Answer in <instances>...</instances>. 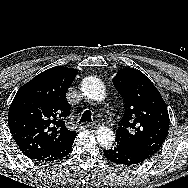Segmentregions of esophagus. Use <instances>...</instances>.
Here are the masks:
<instances>
[{
    "label": "esophagus",
    "instance_id": "esophagus-1",
    "mask_svg": "<svg viewBox=\"0 0 188 188\" xmlns=\"http://www.w3.org/2000/svg\"><path fill=\"white\" fill-rule=\"evenodd\" d=\"M100 123L98 121H94L92 123H87V127H90V128H97L99 127Z\"/></svg>",
    "mask_w": 188,
    "mask_h": 188
}]
</instances>
